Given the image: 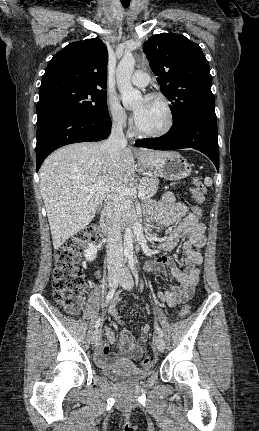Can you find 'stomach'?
Instances as JSON below:
<instances>
[{
    "instance_id": "obj_1",
    "label": "stomach",
    "mask_w": 259,
    "mask_h": 431,
    "mask_svg": "<svg viewBox=\"0 0 259 431\" xmlns=\"http://www.w3.org/2000/svg\"><path fill=\"white\" fill-rule=\"evenodd\" d=\"M191 171V165L178 152H169L155 166V172L160 177L170 181L184 179L191 174Z\"/></svg>"
}]
</instances>
